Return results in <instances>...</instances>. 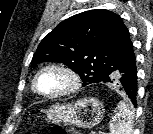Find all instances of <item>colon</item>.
I'll use <instances>...</instances> for the list:
<instances>
[{"mask_svg": "<svg viewBox=\"0 0 153 134\" xmlns=\"http://www.w3.org/2000/svg\"><path fill=\"white\" fill-rule=\"evenodd\" d=\"M30 134V133H27ZM51 134H79L73 129H65L61 126H54L51 129Z\"/></svg>", "mask_w": 153, "mask_h": 134, "instance_id": "1", "label": "colon"}]
</instances>
